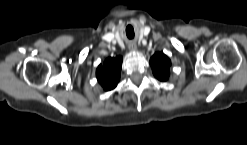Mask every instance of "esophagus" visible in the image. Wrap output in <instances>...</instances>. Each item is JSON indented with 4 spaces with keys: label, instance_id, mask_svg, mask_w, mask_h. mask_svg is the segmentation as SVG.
Wrapping results in <instances>:
<instances>
[{
    "label": "esophagus",
    "instance_id": "1",
    "mask_svg": "<svg viewBox=\"0 0 247 145\" xmlns=\"http://www.w3.org/2000/svg\"><path fill=\"white\" fill-rule=\"evenodd\" d=\"M129 48H130V50H135L136 49V45L135 44H131V45H129Z\"/></svg>",
    "mask_w": 247,
    "mask_h": 145
}]
</instances>
